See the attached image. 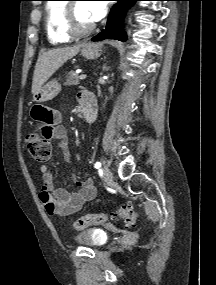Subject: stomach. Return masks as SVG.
<instances>
[{
    "mask_svg": "<svg viewBox=\"0 0 216 285\" xmlns=\"http://www.w3.org/2000/svg\"><path fill=\"white\" fill-rule=\"evenodd\" d=\"M102 52L100 44H85L81 51V55L86 59H96ZM61 91V85L56 80L49 81L43 85L34 95L33 99L36 102L43 103L55 98Z\"/></svg>",
    "mask_w": 216,
    "mask_h": 285,
    "instance_id": "stomach-1",
    "label": "stomach"
}]
</instances>
